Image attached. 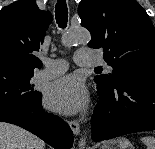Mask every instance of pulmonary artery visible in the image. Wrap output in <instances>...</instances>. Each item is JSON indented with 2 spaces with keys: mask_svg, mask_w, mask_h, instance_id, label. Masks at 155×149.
<instances>
[{
  "mask_svg": "<svg viewBox=\"0 0 155 149\" xmlns=\"http://www.w3.org/2000/svg\"><path fill=\"white\" fill-rule=\"evenodd\" d=\"M75 63L79 66H96L102 63V59L94 51L87 48L78 49L74 55ZM45 69L39 72L42 79H51L67 71L68 64L64 59H46Z\"/></svg>",
  "mask_w": 155,
  "mask_h": 149,
  "instance_id": "obj_1",
  "label": "pulmonary artery"
}]
</instances>
